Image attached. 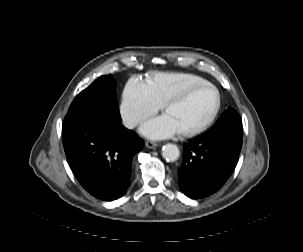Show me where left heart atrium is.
<instances>
[{
    "label": "left heart atrium",
    "instance_id": "obj_1",
    "mask_svg": "<svg viewBox=\"0 0 303 252\" xmlns=\"http://www.w3.org/2000/svg\"><path fill=\"white\" fill-rule=\"evenodd\" d=\"M178 131L179 129L167 114L148 120L140 128L141 134L155 140L171 138Z\"/></svg>",
    "mask_w": 303,
    "mask_h": 252
}]
</instances>
